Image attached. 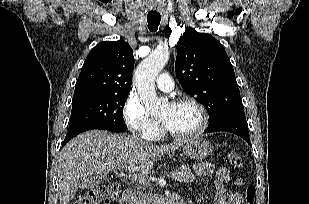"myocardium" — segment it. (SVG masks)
<instances>
[{
    "label": "myocardium",
    "instance_id": "1",
    "mask_svg": "<svg viewBox=\"0 0 309 204\" xmlns=\"http://www.w3.org/2000/svg\"><path fill=\"white\" fill-rule=\"evenodd\" d=\"M172 105H174V106H180V105H192V106H194L195 108H197V110L200 113L201 121H200L199 126L195 130L188 132V133H175V132L169 130L164 125V123L161 121L162 129L168 136H170L174 139L186 140V139L193 138V137L201 135L207 129V127L209 125V115H208L207 109L205 108V106L202 103H200L196 99L184 97V98L175 100L172 103Z\"/></svg>",
    "mask_w": 309,
    "mask_h": 204
}]
</instances>
